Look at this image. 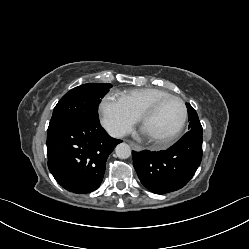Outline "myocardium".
<instances>
[{
  "label": "myocardium",
  "instance_id": "1",
  "mask_svg": "<svg viewBox=\"0 0 249 249\" xmlns=\"http://www.w3.org/2000/svg\"><path fill=\"white\" fill-rule=\"evenodd\" d=\"M170 99L178 100L181 103V105L183 107V117H182L180 125L171 135H169L165 138H161V139L149 138L150 141L152 143H154L159 148H166V147L170 146L178 139V137L183 132V130L186 126L187 120H188V108H187L186 102L181 97H179L177 95H168V96L159 98L158 100L151 103L148 107H146L143 110V112L139 116L140 124H141V126H143L144 122L150 116H152L165 101L170 100Z\"/></svg>",
  "mask_w": 249,
  "mask_h": 249
}]
</instances>
